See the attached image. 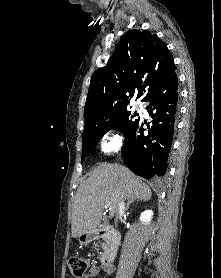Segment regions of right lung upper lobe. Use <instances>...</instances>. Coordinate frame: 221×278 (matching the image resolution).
<instances>
[{
    "mask_svg": "<svg viewBox=\"0 0 221 278\" xmlns=\"http://www.w3.org/2000/svg\"><path fill=\"white\" fill-rule=\"evenodd\" d=\"M175 64L166 44L144 30L126 32L105 67L91 77L84 107L85 121L115 113L175 73ZM143 98V100H144ZM142 100V101H143Z\"/></svg>",
    "mask_w": 221,
    "mask_h": 278,
    "instance_id": "right-lung-upper-lobe-1",
    "label": "right lung upper lobe"
}]
</instances>
